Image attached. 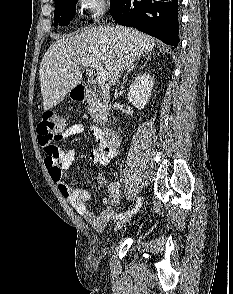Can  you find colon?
<instances>
[{
  "label": "colon",
  "mask_w": 233,
  "mask_h": 294,
  "mask_svg": "<svg viewBox=\"0 0 233 294\" xmlns=\"http://www.w3.org/2000/svg\"><path fill=\"white\" fill-rule=\"evenodd\" d=\"M66 129V121L57 112L51 110L43 114L37 130L39 143L47 156L55 159L60 155L58 144Z\"/></svg>",
  "instance_id": "obj_1"
}]
</instances>
